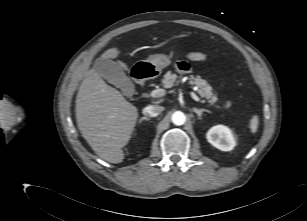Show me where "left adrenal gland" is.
<instances>
[{
  "label": "left adrenal gland",
  "instance_id": "a2214340",
  "mask_svg": "<svg viewBox=\"0 0 307 221\" xmlns=\"http://www.w3.org/2000/svg\"><path fill=\"white\" fill-rule=\"evenodd\" d=\"M192 110H193V112H195V113L197 114V116H198V118H199L200 120H201V117H202L203 112L210 113V111L207 110V109H197V108H193Z\"/></svg>",
  "mask_w": 307,
  "mask_h": 221
}]
</instances>
